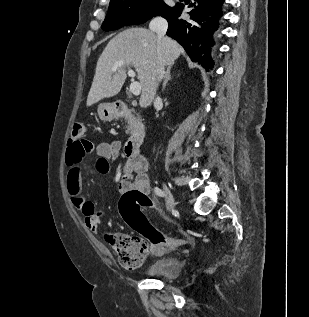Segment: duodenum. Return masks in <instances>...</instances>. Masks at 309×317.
Returning <instances> with one entry per match:
<instances>
[{
  "label": "duodenum",
  "instance_id": "duodenum-1",
  "mask_svg": "<svg viewBox=\"0 0 309 317\" xmlns=\"http://www.w3.org/2000/svg\"><path fill=\"white\" fill-rule=\"evenodd\" d=\"M114 114L117 117L131 118L132 112L124 103H116L114 105ZM145 132L143 129H136L125 144V154L128 157H134L140 154L143 144Z\"/></svg>",
  "mask_w": 309,
  "mask_h": 317
}]
</instances>
